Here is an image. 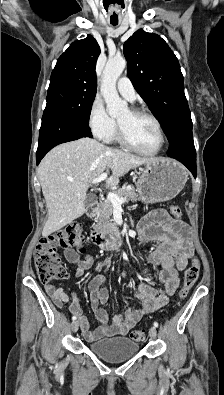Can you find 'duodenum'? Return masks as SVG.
Here are the masks:
<instances>
[{"label": "duodenum", "mask_w": 224, "mask_h": 395, "mask_svg": "<svg viewBox=\"0 0 224 395\" xmlns=\"http://www.w3.org/2000/svg\"><path fill=\"white\" fill-rule=\"evenodd\" d=\"M98 202H93L87 209V215L93 216ZM90 240L98 247L111 250L125 245V236L120 227L112 222L102 230H94L90 233Z\"/></svg>", "instance_id": "duodenum-1"}]
</instances>
